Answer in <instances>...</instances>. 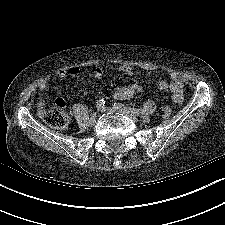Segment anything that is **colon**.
<instances>
[{
	"instance_id": "5ec220e1",
	"label": "colon",
	"mask_w": 225,
	"mask_h": 225,
	"mask_svg": "<svg viewBox=\"0 0 225 225\" xmlns=\"http://www.w3.org/2000/svg\"><path fill=\"white\" fill-rule=\"evenodd\" d=\"M65 105L64 100L56 101V105L50 108L43 109L41 111V117L45 123L49 126L57 129H64L68 124V117L63 110ZM171 114V107L169 105H165L162 108V115L164 117H169Z\"/></svg>"
}]
</instances>
